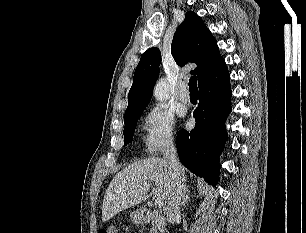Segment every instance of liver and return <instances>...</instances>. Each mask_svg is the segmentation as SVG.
<instances>
[{
  "label": "liver",
  "mask_w": 306,
  "mask_h": 233,
  "mask_svg": "<svg viewBox=\"0 0 306 233\" xmlns=\"http://www.w3.org/2000/svg\"><path fill=\"white\" fill-rule=\"evenodd\" d=\"M152 182H155L154 197L168 200L172 172L165 159H143L117 173L104 195L102 222L108 221L122 210L139 204L147 196Z\"/></svg>",
  "instance_id": "liver-1"
}]
</instances>
